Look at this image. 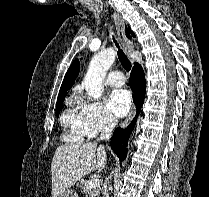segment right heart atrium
Returning a JSON list of instances; mask_svg holds the SVG:
<instances>
[{
  "label": "right heart atrium",
  "mask_w": 209,
  "mask_h": 197,
  "mask_svg": "<svg viewBox=\"0 0 209 197\" xmlns=\"http://www.w3.org/2000/svg\"><path fill=\"white\" fill-rule=\"evenodd\" d=\"M79 108L88 137H95L115 125V119L99 101L83 100Z\"/></svg>",
  "instance_id": "1"
}]
</instances>
